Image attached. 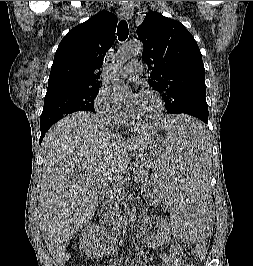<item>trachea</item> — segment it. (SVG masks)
Listing matches in <instances>:
<instances>
[{
  "mask_svg": "<svg viewBox=\"0 0 253 266\" xmlns=\"http://www.w3.org/2000/svg\"><path fill=\"white\" fill-rule=\"evenodd\" d=\"M128 34H129L128 24L126 20H121L117 28L118 39L120 41H124L127 39Z\"/></svg>",
  "mask_w": 253,
  "mask_h": 266,
  "instance_id": "1",
  "label": "trachea"
}]
</instances>
